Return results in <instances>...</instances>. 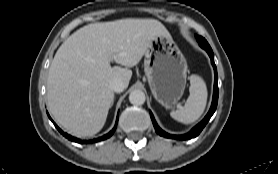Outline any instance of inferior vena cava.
<instances>
[{
	"instance_id": "inferior-vena-cava-1",
	"label": "inferior vena cava",
	"mask_w": 278,
	"mask_h": 174,
	"mask_svg": "<svg viewBox=\"0 0 278 174\" xmlns=\"http://www.w3.org/2000/svg\"><path fill=\"white\" fill-rule=\"evenodd\" d=\"M110 88L114 92L120 93L125 89V85L121 79L115 78L110 82Z\"/></svg>"
}]
</instances>
